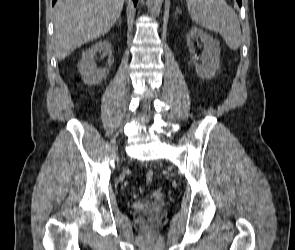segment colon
I'll list each match as a JSON object with an SVG mask.
<instances>
[{
  "mask_svg": "<svg viewBox=\"0 0 295 250\" xmlns=\"http://www.w3.org/2000/svg\"><path fill=\"white\" fill-rule=\"evenodd\" d=\"M154 178H155V174L153 171H148L145 175V181L147 184L152 183Z\"/></svg>",
  "mask_w": 295,
  "mask_h": 250,
  "instance_id": "5ec220e1",
  "label": "colon"
}]
</instances>
